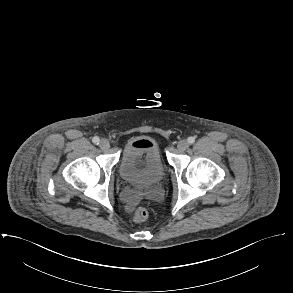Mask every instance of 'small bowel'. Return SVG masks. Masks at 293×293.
<instances>
[{"label":"small bowel","mask_w":293,"mask_h":293,"mask_svg":"<svg viewBox=\"0 0 293 293\" xmlns=\"http://www.w3.org/2000/svg\"><path fill=\"white\" fill-rule=\"evenodd\" d=\"M146 141L148 140L144 138H135L132 141V143H142ZM121 196L122 199L126 202L128 209H131L136 201V193L129 190H125L122 192Z\"/></svg>","instance_id":"1"}]
</instances>
